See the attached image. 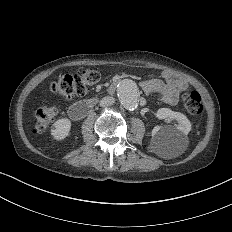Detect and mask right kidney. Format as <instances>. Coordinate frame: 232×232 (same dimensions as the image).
<instances>
[{"mask_svg": "<svg viewBox=\"0 0 232 232\" xmlns=\"http://www.w3.org/2000/svg\"><path fill=\"white\" fill-rule=\"evenodd\" d=\"M70 122L68 119L58 120L52 129V135L58 139H63L69 132Z\"/></svg>", "mask_w": 232, "mask_h": 232, "instance_id": "obj_1", "label": "right kidney"}]
</instances>
